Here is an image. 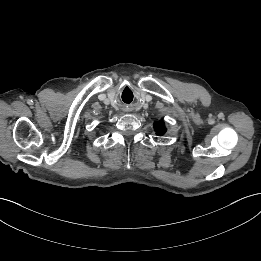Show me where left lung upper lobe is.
Here are the masks:
<instances>
[{
    "mask_svg": "<svg viewBox=\"0 0 261 261\" xmlns=\"http://www.w3.org/2000/svg\"><path fill=\"white\" fill-rule=\"evenodd\" d=\"M154 129L158 135H163L166 131V129L164 127V122L163 121L155 122Z\"/></svg>",
    "mask_w": 261,
    "mask_h": 261,
    "instance_id": "5c2ea615",
    "label": "left lung upper lobe"
}]
</instances>
